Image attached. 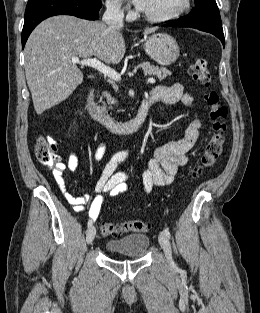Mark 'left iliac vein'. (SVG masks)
<instances>
[{"mask_svg":"<svg viewBox=\"0 0 260 313\" xmlns=\"http://www.w3.org/2000/svg\"><path fill=\"white\" fill-rule=\"evenodd\" d=\"M159 243L161 248L163 249L165 256L169 262V264L173 265V260H172V250H171V245L164 233L159 234Z\"/></svg>","mask_w":260,"mask_h":313,"instance_id":"left-iliac-vein-1","label":"left iliac vein"}]
</instances>
